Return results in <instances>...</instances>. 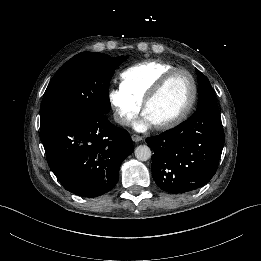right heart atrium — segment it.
<instances>
[{"instance_id": "d8ad5b80", "label": "right heart atrium", "mask_w": 261, "mask_h": 261, "mask_svg": "<svg viewBox=\"0 0 261 261\" xmlns=\"http://www.w3.org/2000/svg\"><path fill=\"white\" fill-rule=\"evenodd\" d=\"M108 100L120 125L130 126L134 123L139 115L141 103L121 87L110 90Z\"/></svg>"}]
</instances>
